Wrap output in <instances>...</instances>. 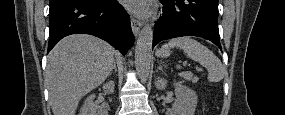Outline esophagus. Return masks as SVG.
I'll use <instances>...</instances> for the list:
<instances>
[{"label":"esophagus","mask_w":285,"mask_h":115,"mask_svg":"<svg viewBox=\"0 0 285 115\" xmlns=\"http://www.w3.org/2000/svg\"><path fill=\"white\" fill-rule=\"evenodd\" d=\"M141 25L142 24L138 19L131 17V27H132L133 34L135 36L138 35L140 28H141Z\"/></svg>","instance_id":"esophagus-1"}]
</instances>
